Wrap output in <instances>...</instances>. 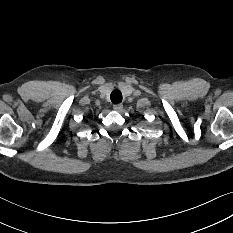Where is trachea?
<instances>
[{
  "label": "trachea",
  "mask_w": 233,
  "mask_h": 233,
  "mask_svg": "<svg viewBox=\"0 0 233 233\" xmlns=\"http://www.w3.org/2000/svg\"><path fill=\"white\" fill-rule=\"evenodd\" d=\"M111 101L114 104L120 103L122 101V93L119 90H113L111 93Z\"/></svg>",
  "instance_id": "3493384b"
}]
</instances>
